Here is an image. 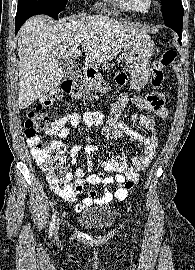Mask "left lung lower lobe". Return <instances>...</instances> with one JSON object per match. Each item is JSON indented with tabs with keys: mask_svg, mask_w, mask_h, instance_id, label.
<instances>
[{
	"mask_svg": "<svg viewBox=\"0 0 195 270\" xmlns=\"http://www.w3.org/2000/svg\"><path fill=\"white\" fill-rule=\"evenodd\" d=\"M173 30H175V31H176V33L178 34V36H179L178 41H179V43L181 44V38H182V28H173Z\"/></svg>",
	"mask_w": 195,
	"mask_h": 270,
	"instance_id": "left-lung-lower-lobe-1",
	"label": "left lung lower lobe"
}]
</instances>
